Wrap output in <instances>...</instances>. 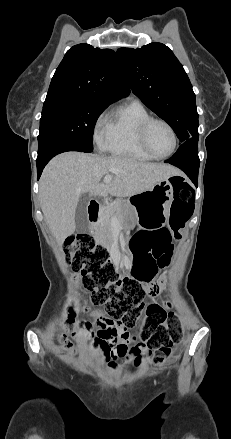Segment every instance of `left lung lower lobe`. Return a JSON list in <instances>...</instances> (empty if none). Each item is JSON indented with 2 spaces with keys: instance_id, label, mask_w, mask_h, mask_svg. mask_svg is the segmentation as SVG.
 Returning a JSON list of instances; mask_svg holds the SVG:
<instances>
[{
  "instance_id": "left-lung-lower-lobe-1",
  "label": "left lung lower lobe",
  "mask_w": 231,
  "mask_h": 439,
  "mask_svg": "<svg viewBox=\"0 0 231 439\" xmlns=\"http://www.w3.org/2000/svg\"><path fill=\"white\" fill-rule=\"evenodd\" d=\"M165 162L183 170L197 186L200 164L198 157V137H192L184 141L177 152Z\"/></svg>"
}]
</instances>
